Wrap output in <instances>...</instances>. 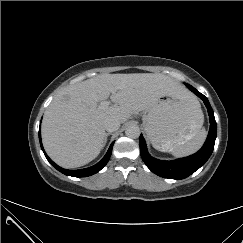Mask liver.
Segmentation results:
<instances>
[{
    "label": "liver",
    "instance_id": "6515ba94",
    "mask_svg": "<svg viewBox=\"0 0 243 243\" xmlns=\"http://www.w3.org/2000/svg\"><path fill=\"white\" fill-rule=\"evenodd\" d=\"M184 99L189 92L161 73L101 74L62 89L47 108L42 140L50 158L64 168L95 159L104 147L107 119L126 122L158 98ZM109 97L114 105L103 107Z\"/></svg>",
    "mask_w": 243,
    "mask_h": 243
}]
</instances>
